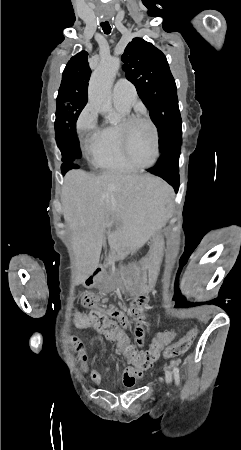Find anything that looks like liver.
<instances>
[{
    "mask_svg": "<svg viewBox=\"0 0 241 450\" xmlns=\"http://www.w3.org/2000/svg\"><path fill=\"white\" fill-rule=\"evenodd\" d=\"M168 194V184L149 174L103 172L94 176L84 170L67 172L61 200L64 220L73 232L72 250L80 282L98 268L104 234L110 248H116L114 226L137 224L144 218L150 234Z\"/></svg>",
    "mask_w": 241,
    "mask_h": 450,
    "instance_id": "1",
    "label": "liver"
}]
</instances>
